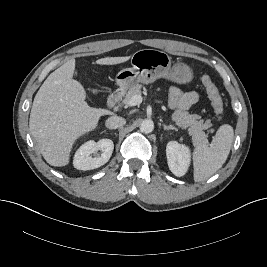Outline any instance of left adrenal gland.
<instances>
[{
  "mask_svg": "<svg viewBox=\"0 0 267 267\" xmlns=\"http://www.w3.org/2000/svg\"><path fill=\"white\" fill-rule=\"evenodd\" d=\"M163 129L164 130H175V131H177V128H175L173 125H165V124H163Z\"/></svg>",
  "mask_w": 267,
  "mask_h": 267,
  "instance_id": "left-adrenal-gland-1",
  "label": "left adrenal gland"
}]
</instances>
